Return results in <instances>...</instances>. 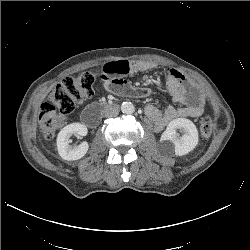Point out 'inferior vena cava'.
<instances>
[{"label":"inferior vena cava","mask_w":250,"mask_h":250,"mask_svg":"<svg viewBox=\"0 0 250 250\" xmlns=\"http://www.w3.org/2000/svg\"><path fill=\"white\" fill-rule=\"evenodd\" d=\"M118 114H119V109L113 106L108 107L104 112L105 117H116Z\"/></svg>","instance_id":"1"}]
</instances>
